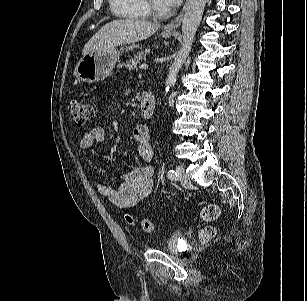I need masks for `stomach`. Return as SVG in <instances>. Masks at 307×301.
<instances>
[{
    "instance_id": "0dacf381",
    "label": "stomach",
    "mask_w": 307,
    "mask_h": 301,
    "mask_svg": "<svg viewBox=\"0 0 307 301\" xmlns=\"http://www.w3.org/2000/svg\"><path fill=\"white\" fill-rule=\"evenodd\" d=\"M172 35L173 32L171 31L162 32L163 38H169ZM124 51H128V47L108 49L104 51H92L84 55L75 68L77 77L86 83H94L104 80L111 74L120 54Z\"/></svg>"
}]
</instances>
